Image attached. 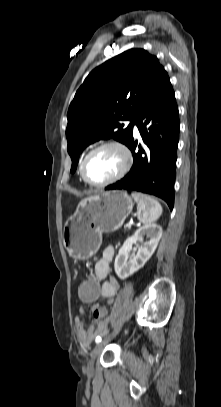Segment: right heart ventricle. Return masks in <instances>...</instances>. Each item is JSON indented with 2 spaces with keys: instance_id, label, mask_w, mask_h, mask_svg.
Listing matches in <instances>:
<instances>
[{
  "instance_id": "1",
  "label": "right heart ventricle",
  "mask_w": 221,
  "mask_h": 407,
  "mask_svg": "<svg viewBox=\"0 0 221 407\" xmlns=\"http://www.w3.org/2000/svg\"><path fill=\"white\" fill-rule=\"evenodd\" d=\"M82 161H83V159L81 160V162H80V165H79V174H80V176H81V164H82Z\"/></svg>"
}]
</instances>
